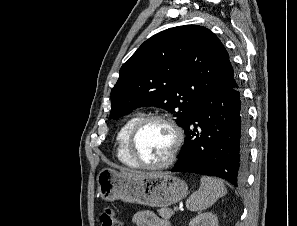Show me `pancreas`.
Listing matches in <instances>:
<instances>
[{"label":"pancreas","mask_w":297,"mask_h":226,"mask_svg":"<svg viewBox=\"0 0 297 226\" xmlns=\"http://www.w3.org/2000/svg\"><path fill=\"white\" fill-rule=\"evenodd\" d=\"M157 212L163 219H166V220L170 219L171 216L173 215V211L167 207H163V208L157 210Z\"/></svg>","instance_id":"obj_1"}]
</instances>
